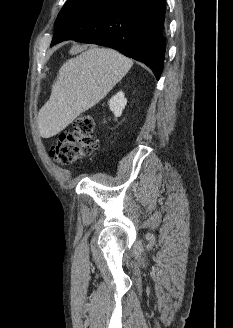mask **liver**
Segmentation results:
<instances>
[{
	"label": "liver",
	"mask_w": 233,
	"mask_h": 328,
	"mask_svg": "<svg viewBox=\"0 0 233 328\" xmlns=\"http://www.w3.org/2000/svg\"><path fill=\"white\" fill-rule=\"evenodd\" d=\"M133 61L108 48L91 47L67 60L38 113L42 138L59 134L81 113L99 103L126 75Z\"/></svg>",
	"instance_id": "liver-1"
}]
</instances>
